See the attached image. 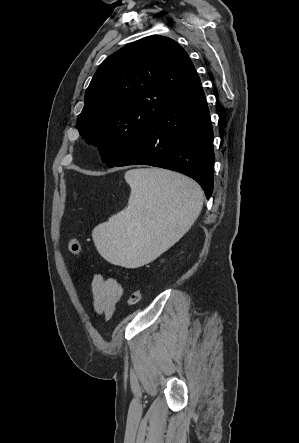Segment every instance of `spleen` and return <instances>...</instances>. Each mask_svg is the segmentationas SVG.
I'll return each instance as SVG.
<instances>
[{
	"instance_id": "obj_1",
	"label": "spleen",
	"mask_w": 299,
	"mask_h": 443,
	"mask_svg": "<svg viewBox=\"0 0 299 443\" xmlns=\"http://www.w3.org/2000/svg\"><path fill=\"white\" fill-rule=\"evenodd\" d=\"M131 187L128 207L96 226L93 241L108 262L136 268L155 259L193 225L203 192L193 180L158 168L125 173Z\"/></svg>"
}]
</instances>
